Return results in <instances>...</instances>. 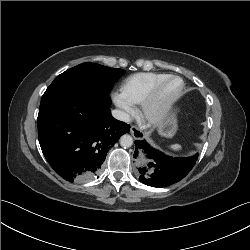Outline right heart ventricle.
<instances>
[{"label": "right heart ventricle", "mask_w": 250, "mask_h": 250, "mask_svg": "<svg viewBox=\"0 0 250 250\" xmlns=\"http://www.w3.org/2000/svg\"><path fill=\"white\" fill-rule=\"evenodd\" d=\"M168 74L140 72L128 76L121 83L120 95L131 105L140 104L151 88Z\"/></svg>", "instance_id": "e07e8e85"}]
</instances>
